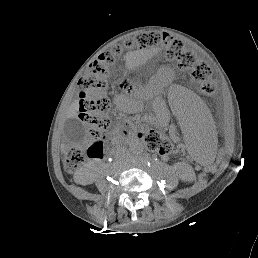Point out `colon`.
I'll list each match as a JSON object with an SVG mask.
<instances>
[{
	"mask_svg": "<svg viewBox=\"0 0 258 258\" xmlns=\"http://www.w3.org/2000/svg\"><path fill=\"white\" fill-rule=\"evenodd\" d=\"M126 46L141 49L163 47L180 66L191 70L193 79L201 85V91L205 95H212L215 92L216 87L211 77L210 67L204 61L198 60L192 50H184L183 44L178 39L168 34L146 32L127 42ZM121 52V46H115L103 52L89 66L87 73L80 80V112L91 136L98 140L94 147L98 150L99 156L103 155L104 147L107 144L101 141V134L110 125L106 114L109 108L106 89L109 80L115 77V63ZM120 86L123 90H128L132 83L129 80L121 79ZM143 140L149 149L159 153L168 154L173 150L172 142L156 130L145 132ZM83 161L84 152L80 148L71 147L65 156V168L67 171L73 172Z\"/></svg>",
	"mask_w": 258,
	"mask_h": 258,
	"instance_id": "obj_1",
	"label": "colon"
}]
</instances>
